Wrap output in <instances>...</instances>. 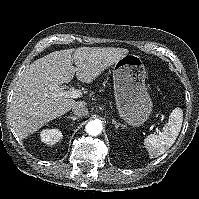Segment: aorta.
I'll list each match as a JSON object with an SVG mask.
<instances>
[{"instance_id": "762f6f07", "label": "aorta", "mask_w": 199, "mask_h": 199, "mask_svg": "<svg viewBox=\"0 0 199 199\" xmlns=\"http://www.w3.org/2000/svg\"><path fill=\"white\" fill-rule=\"evenodd\" d=\"M101 131H102V124L99 120L89 121L86 125V132L89 135L97 136L101 133Z\"/></svg>"}]
</instances>
